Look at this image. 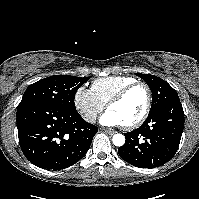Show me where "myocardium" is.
Here are the masks:
<instances>
[{
  "mask_svg": "<svg viewBox=\"0 0 199 199\" xmlns=\"http://www.w3.org/2000/svg\"><path fill=\"white\" fill-rule=\"evenodd\" d=\"M142 87L145 89L146 91V104H145V108L143 113L133 122L129 123V124H122L124 129H134L138 126H140L148 117L150 110H151V106H152V92L151 89L149 87V85L143 81H134L128 85H126L125 87H123L108 103H107V109H109L111 106H113L114 104L119 103L120 101H122L124 99V97L128 94V92H130L132 89L136 88V87Z\"/></svg>",
  "mask_w": 199,
  "mask_h": 199,
  "instance_id": "obj_1",
  "label": "myocardium"
}]
</instances>
